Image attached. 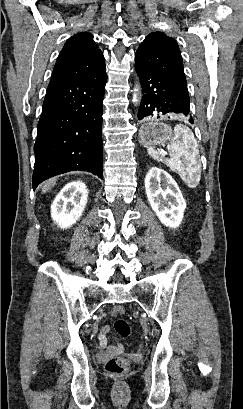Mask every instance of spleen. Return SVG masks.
Returning a JSON list of instances; mask_svg holds the SVG:
<instances>
[{
    "label": "spleen",
    "instance_id": "3e777b00",
    "mask_svg": "<svg viewBox=\"0 0 243 409\" xmlns=\"http://www.w3.org/2000/svg\"><path fill=\"white\" fill-rule=\"evenodd\" d=\"M170 158L162 160L160 153L152 147L148 153L157 161H163L172 171L179 174L184 183L195 188L201 179V163L199 161L198 144L192 130L184 125L174 127V137L167 146Z\"/></svg>",
    "mask_w": 243,
    "mask_h": 409
}]
</instances>
